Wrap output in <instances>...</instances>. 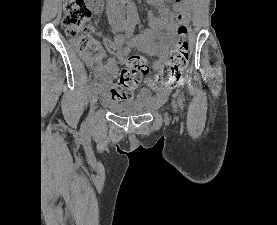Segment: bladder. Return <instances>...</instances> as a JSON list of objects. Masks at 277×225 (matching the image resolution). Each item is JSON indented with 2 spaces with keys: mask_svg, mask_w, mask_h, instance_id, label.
<instances>
[{
  "mask_svg": "<svg viewBox=\"0 0 277 225\" xmlns=\"http://www.w3.org/2000/svg\"><path fill=\"white\" fill-rule=\"evenodd\" d=\"M105 107L118 116H140L153 110L155 102L143 94L140 98L130 101L106 103Z\"/></svg>",
  "mask_w": 277,
  "mask_h": 225,
  "instance_id": "31cf9c89",
  "label": "bladder"
}]
</instances>
